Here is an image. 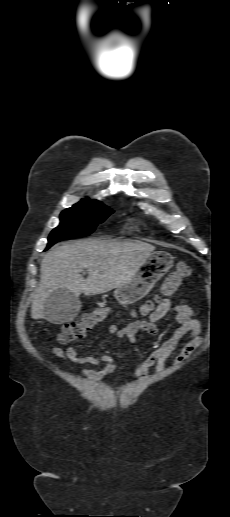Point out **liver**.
Wrapping results in <instances>:
<instances>
[{"label": "liver", "mask_w": 230, "mask_h": 517, "mask_svg": "<svg viewBox=\"0 0 230 517\" xmlns=\"http://www.w3.org/2000/svg\"><path fill=\"white\" fill-rule=\"evenodd\" d=\"M155 247L140 241L79 240L58 246L44 255L40 283L31 306L33 319L46 318L44 304L54 291L75 296L96 295L124 285ZM88 271L87 279L81 272Z\"/></svg>", "instance_id": "liver-1"}]
</instances>
